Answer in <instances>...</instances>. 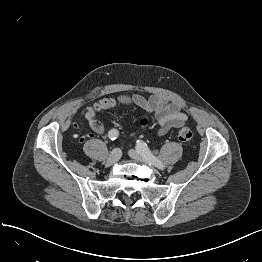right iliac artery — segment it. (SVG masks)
Returning a JSON list of instances; mask_svg holds the SVG:
<instances>
[{
    "label": "right iliac artery",
    "mask_w": 262,
    "mask_h": 262,
    "mask_svg": "<svg viewBox=\"0 0 262 262\" xmlns=\"http://www.w3.org/2000/svg\"><path fill=\"white\" fill-rule=\"evenodd\" d=\"M118 135H119V132H118L117 129H111V130L109 131V133H108V137H109V139H111V140H115V139L118 137Z\"/></svg>",
    "instance_id": "obj_1"
}]
</instances>
